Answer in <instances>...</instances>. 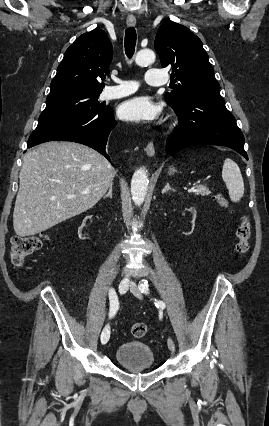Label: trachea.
I'll return each mask as SVG.
<instances>
[{
    "instance_id": "3493384b",
    "label": "trachea",
    "mask_w": 269,
    "mask_h": 426,
    "mask_svg": "<svg viewBox=\"0 0 269 426\" xmlns=\"http://www.w3.org/2000/svg\"><path fill=\"white\" fill-rule=\"evenodd\" d=\"M136 31L133 27H129L125 31V53L128 58H131L135 51Z\"/></svg>"
}]
</instances>
